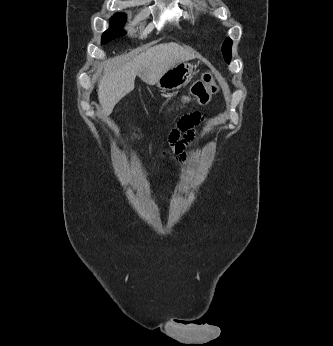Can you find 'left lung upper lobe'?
Segmentation results:
<instances>
[{"mask_svg":"<svg viewBox=\"0 0 333 346\" xmlns=\"http://www.w3.org/2000/svg\"><path fill=\"white\" fill-rule=\"evenodd\" d=\"M231 47L232 40L230 38H227L222 45V53L227 63H230L231 60Z\"/></svg>","mask_w":333,"mask_h":346,"instance_id":"obj_1","label":"left lung upper lobe"}]
</instances>
